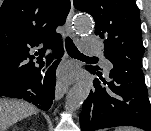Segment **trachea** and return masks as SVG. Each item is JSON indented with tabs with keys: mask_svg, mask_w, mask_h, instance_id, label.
Here are the masks:
<instances>
[{
	"mask_svg": "<svg viewBox=\"0 0 151 131\" xmlns=\"http://www.w3.org/2000/svg\"><path fill=\"white\" fill-rule=\"evenodd\" d=\"M65 47H66V50H67V53L72 56V57H86V58H89L83 54H81L79 52V50L77 49V47L75 46V44L73 43L72 39H70L69 37H66V40H65ZM53 59V56L52 54H49L47 57H46V60L47 61H51Z\"/></svg>",
	"mask_w": 151,
	"mask_h": 131,
	"instance_id": "3493384b",
	"label": "trachea"
}]
</instances>
